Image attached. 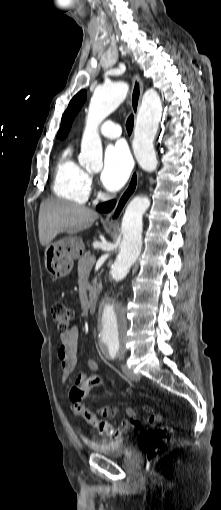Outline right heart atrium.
Masks as SVG:
<instances>
[{
    "label": "right heart atrium",
    "instance_id": "1",
    "mask_svg": "<svg viewBox=\"0 0 221 510\" xmlns=\"http://www.w3.org/2000/svg\"><path fill=\"white\" fill-rule=\"evenodd\" d=\"M89 183H90V186H92L93 181H92V179H91V178L89 179Z\"/></svg>",
    "mask_w": 221,
    "mask_h": 510
}]
</instances>
